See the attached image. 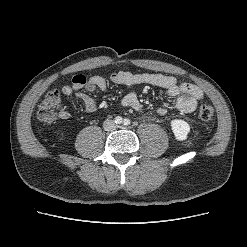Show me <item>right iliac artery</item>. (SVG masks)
<instances>
[{
  "label": "right iliac artery",
  "instance_id": "82829eb1",
  "mask_svg": "<svg viewBox=\"0 0 247 247\" xmlns=\"http://www.w3.org/2000/svg\"><path fill=\"white\" fill-rule=\"evenodd\" d=\"M115 123H116V124H121V123H122V117L117 116V117L115 118Z\"/></svg>",
  "mask_w": 247,
  "mask_h": 247
}]
</instances>
